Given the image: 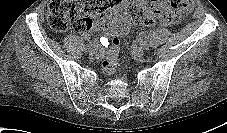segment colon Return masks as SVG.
Returning <instances> with one entry per match:
<instances>
[{
  "label": "colon",
  "mask_w": 227,
  "mask_h": 133,
  "mask_svg": "<svg viewBox=\"0 0 227 133\" xmlns=\"http://www.w3.org/2000/svg\"><path fill=\"white\" fill-rule=\"evenodd\" d=\"M120 0H50L47 19L50 26L59 32L73 27L79 32L90 30L94 22L92 16L103 18L109 10L118 5ZM196 3L194 0H167L169 14L178 17L191 13ZM129 14L133 22L144 25L163 19L167 13L162 11L159 0H151L149 10L142 5H129ZM120 41L115 38L104 59L103 67L108 73L115 70Z\"/></svg>",
  "instance_id": "colon-1"
}]
</instances>
